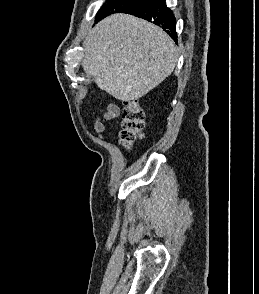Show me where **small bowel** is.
Returning a JSON list of instances; mask_svg holds the SVG:
<instances>
[{
	"instance_id": "1",
	"label": "small bowel",
	"mask_w": 259,
	"mask_h": 294,
	"mask_svg": "<svg viewBox=\"0 0 259 294\" xmlns=\"http://www.w3.org/2000/svg\"><path fill=\"white\" fill-rule=\"evenodd\" d=\"M120 108L115 104L108 105L105 113L94 121V130L100 137L103 136L106 130V122L118 118Z\"/></svg>"
}]
</instances>
